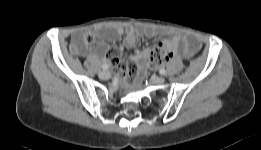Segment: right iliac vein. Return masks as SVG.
Returning <instances> with one entry per match:
<instances>
[{"mask_svg": "<svg viewBox=\"0 0 261 150\" xmlns=\"http://www.w3.org/2000/svg\"><path fill=\"white\" fill-rule=\"evenodd\" d=\"M111 76L110 72L109 71H101L99 72V77L103 80H107L109 79Z\"/></svg>", "mask_w": 261, "mask_h": 150, "instance_id": "1", "label": "right iliac vein"}]
</instances>
